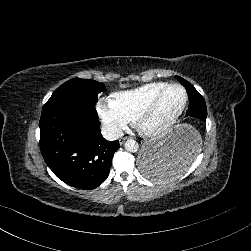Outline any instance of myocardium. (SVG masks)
<instances>
[{
	"label": "myocardium",
	"mask_w": 251,
	"mask_h": 251,
	"mask_svg": "<svg viewBox=\"0 0 251 251\" xmlns=\"http://www.w3.org/2000/svg\"><path fill=\"white\" fill-rule=\"evenodd\" d=\"M170 88H178L185 93V103L183 105L181 112L179 113L178 117L175 120H173L168 124L148 128V122L151 116L156 110L165 92ZM189 100H190V95L187 88H185L183 85L179 83H168L156 94V96L148 103V105L139 114V122L141 126L147 129L148 133L151 135L154 136L166 135L169 132L173 131L176 127H178L180 123L183 121L189 106Z\"/></svg>",
	"instance_id": "f54148a6"
}]
</instances>
